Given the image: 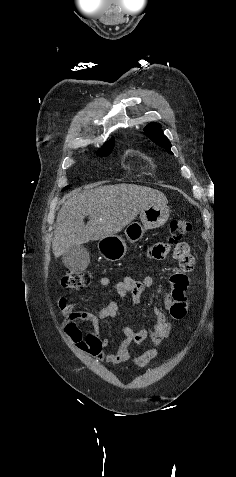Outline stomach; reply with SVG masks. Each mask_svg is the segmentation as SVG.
<instances>
[{
  "mask_svg": "<svg viewBox=\"0 0 236 477\" xmlns=\"http://www.w3.org/2000/svg\"><path fill=\"white\" fill-rule=\"evenodd\" d=\"M170 209L167 205L154 204L140 212V221L130 223L125 229L128 241L137 242L142 239L146 230L162 226L168 220ZM100 254L108 261L121 260L126 252L127 245L120 236L105 237L98 242Z\"/></svg>",
  "mask_w": 236,
  "mask_h": 477,
  "instance_id": "stomach-1",
  "label": "stomach"
}]
</instances>
